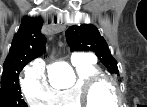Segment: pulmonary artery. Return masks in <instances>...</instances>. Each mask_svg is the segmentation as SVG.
Here are the masks:
<instances>
[{"label":"pulmonary artery","mask_w":147,"mask_h":107,"mask_svg":"<svg viewBox=\"0 0 147 107\" xmlns=\"http://www.w3.org/2000/svg\"><path fill=\"white\" fill-rule=\"evenodd\" d=\"M72 62H77V61H81V60H86L85 58V54L80 53V52H76L72 55L71 57Z\"/></svg>","instance_id":"obj_1"}]
</instances>
